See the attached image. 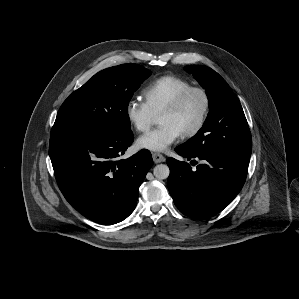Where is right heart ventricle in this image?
I'll list each match as a JSON object with an SVG mask.
<instances>
[{
    "mask_svg": "<svg viewBox=\"0 0 299 299\" xmlns=\"http://www.w3.org/2000/svg\"><path fill=\"white\" fill-rule=\"evenodd\" d=\"M192 87V83L182 77L165 75L151 82L142 92L145 104L154 116L159 115L181 92Z\"/></svg>",
    "mask_w": 299,
    "mask_h": 299,
    "instance_id": "obj_1",
    "label": "right heart ventricle"
}]
</instances>
